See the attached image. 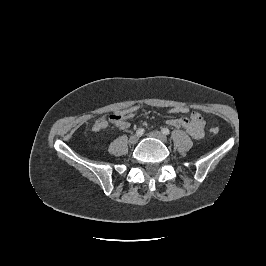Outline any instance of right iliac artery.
<instances>
[{"instance_id":"obj_1","label":"right iliac artery","mask_w":266,"mask_h":266,"mask_svg":"<svg viewBox=\"0 0 266 266\" xmlns=\"http://www.w3.org/2000/svg\"><path fill=\"white\" fill-rule=\"evenodd\" d=\"M145 130L143 128H139L137 131H136V134L139 135V136H142L144 134Z\"/></svg>"}]
</instances>
